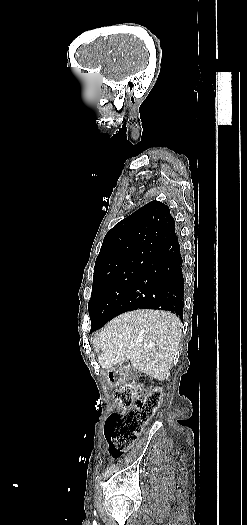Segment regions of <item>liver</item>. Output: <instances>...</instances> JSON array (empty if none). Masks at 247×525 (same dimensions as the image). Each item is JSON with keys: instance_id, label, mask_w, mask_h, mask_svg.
<instances>
[{"instance_id": "liver-1", "label": "liver", "mask_w": 247, "mask_h": 525, "mask_svg": "<svg viewBox=\"0 0 247 525\" xmlns=\"http://www.w3.org/2000/svg\"><path fill=\"white\" fill-rule=\"evenodd\" d=\"M181 327L170 311L137 309L109 321L92 345L102 369L130 361L136 371L165 381L176 363Z\"/></svg>"}]
</instances>
